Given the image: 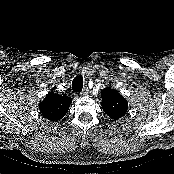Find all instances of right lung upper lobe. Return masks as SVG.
I'll list each match as a JSON object with an SVG mask.
<instances>
[{
	"mask_svg": "<svg viewBox=\"0 0 174 174\" xmlns=\"http://www.w3.org/2000/svg\"><path fill=\"white\" fill-rule=\"evenodd\" d=\"M71 102L72 99L70 97L51 92L39 103V109L46 119L58 121L66 115Z\"/></svg>",
	"mask_w": 174,
	"mask_h": 174,
	"instance_id": "1",
	"label": "right lung upper lobe"
}]
</instances>
